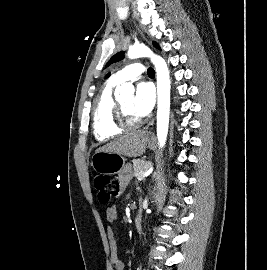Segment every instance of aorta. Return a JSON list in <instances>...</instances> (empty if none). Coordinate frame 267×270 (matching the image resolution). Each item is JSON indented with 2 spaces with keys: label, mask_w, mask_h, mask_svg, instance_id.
I'll list each match as a JSON object with an SVG mask.
<instances>
[{
  "label": "aorta",
  "mask_w": 267,
  "mask_h": 270,
  "mask_svg": "<svg viewBox=\"0 0 267 270\" xmlns=\"http://www.w3.org/2000/svg\"><path fill=\"white\" fill-rule=\"evenodd\" d=\"M148 57L155 66L157 74V139L160 148H163L168 134L169 114H170V75L165 60L154 54L145 45H134L128 50L129 59ZM134 86L124 83L115 90L116 98L123 96H133Z\"/></svg>",
  "instance_id": "aorta-1"
}]
</instances>
